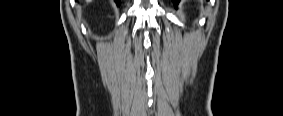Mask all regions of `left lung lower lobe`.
<instances>
[{"mask_svg":"<svg viewBox=\"0 0 283 116\" xmlns=\"http://www.w3.org/2000/svg\"><path fill=\"white\" fill-rule=\"evenodd\" d=\"M179 1H180V0H173V3H174V5H175V7H177Z\"/></svg>","mask_w":283,"mask_h":116,"instance_id":"left-lung-lower-lobe-1","label":"left lung lower lobe"}]
</instances>
